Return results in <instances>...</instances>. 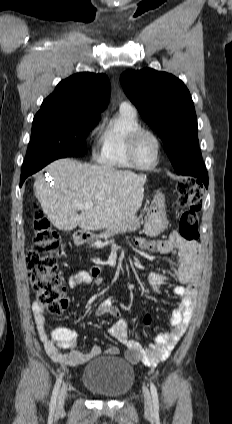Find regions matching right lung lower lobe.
<instances>
[{"label": "right lung lower lobe", "instance_id": "right-lung-lower-lobe-1", "mask_svg": "<svg viewBox=\"0 0 232 424\" xmlns=\"http://www.w3.org/2000/svg\"><path fill=\"white\" fill-rule=\"evenodd\" d=\"M59 158H65V157H51V158H45L42 160H39L35 163H33L32 165L26 167V168H22L21 169V178H20V185L23 184L24 180L30 176L31 174H34L35 172L41 170L43 167H45L47 164H49L50 162L59 159Z\"/></svg>", "mask_w": 232, "mask_h": 424}]
</instances>
